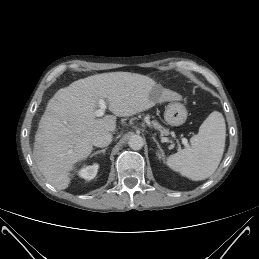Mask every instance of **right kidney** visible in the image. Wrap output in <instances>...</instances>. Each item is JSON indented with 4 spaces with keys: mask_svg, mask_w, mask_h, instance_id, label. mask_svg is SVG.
Wrapping results in <instances>:
<instances>
[{
    "mask_svg": "<svg viewBox=\"0 0 259 259\" xmlns=\"http://www.w3.org/2000/svg\"><path fill=\"white\" fill-rule=\"evenodd\" d=\"M98 169H99V165L96 163L93 165L84 166L78 171V175L81 178L87 181H90L95 178V176L97 175Z\"/></svg>",
    "mask_w": 259,
    "mask_h": 259,
    "instance_id": "right-kidney-1",
    "label": "right kidney"
}]
</instances>
